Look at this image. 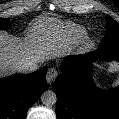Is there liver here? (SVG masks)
Wrapping results in <instances>:
<instances>
[{
    "instance_id": "6515ba94",
    "label": "liver",
    "mask_w": 119,
    "mask_h": 119,
    "mask_svg": "<svg viewBox=\"0 0 119 119\" xmlns=\"http://www.w3.org/2000/svg\"><path fill=\"white\" fill-rule=\"evenodd\" d=\"M47 26L43 22L34 26L24 40L0 31V77L20 72L18 67L25 63L44 62L63 54L58 39L47 37Z\"/></svg>"
}]
</instances>
